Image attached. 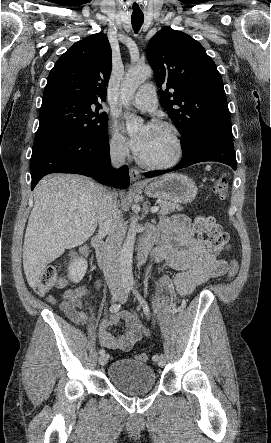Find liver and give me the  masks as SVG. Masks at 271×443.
I'll return each mask as SVG.
<instances>
[{
    "label": "liver",
    "mask_w": 271,
    "mask_h": 443,
    "mask_svg": "<svg viewBox=\"0 0 271 443\" xmlns=\"http://www.w3.org/2000/svg\"><path fill=\"white\" fill-rule=\"evenodd\" d=\"M102 186L76 174L46 176L34 190L23 245V267L36 287L46 265L93 235L101 212Z\"/></svg>",
    "instance_id": "6515ba94"
}]
</instances>
